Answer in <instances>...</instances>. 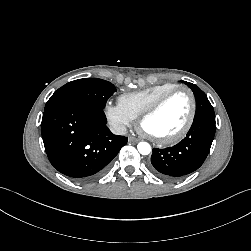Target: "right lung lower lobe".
Returning a JSON list of instances; mask_svg holds the SVG:
<instances>
[{
  "instance_id": "98d812e1",
  "label": "right lung lower lobe",
  "mask_w": 251,
  "mask_h": 251,
  "mask_svg": "<svg viewBox=\"0 0 251 251\" xmlns=\"http://www.w3.org/2000/svg\"><path fill=\"white\" fill-rule=\"evenodd\" d=\"M103 109L79 103H62L44 109L41 132L51 164L62 174L81 182L101 176L127 143L111 133Z\"/></svg>"
}]
</instances>
